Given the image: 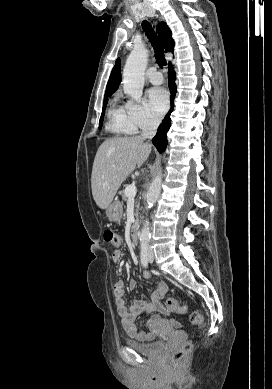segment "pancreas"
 <instances>
[{"mask_svg":"<svg viewBox=\"0 0 272 389\" xmlns=\"http://www.w3.org/2000/svg\"><path fill=\"white\" fill-rule=\"evenodd\" d=\"M126 198H127V196L125 195V190H123L122 199H123V200H126ZM136 208H137V210H138L139 205H136Z\"/></svg>","mask_w":272,"mask_h":389,"instance_id":"cf45deb5","label":"pancreas"}]
</instances>
